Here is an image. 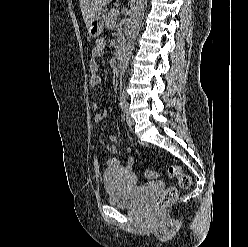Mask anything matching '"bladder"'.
I'll list each match as a JSON object with an SVG mask.
<instances>
[{"label":"bladder","instance_id":"obj_1","mask_svg":"<svg viewBox=\"0 0 248 247\" xmlns=\"http://www.w3.org/2000/svg\"><path fill=\"white\" fill-rule=\"evenodd\" d=\"M133 177V173L123 167H111L104 171L103 183L109 204L132 207L137 203L140 187Z\"/></svg>","mask_w":248,"mask_h":247}]
</instances>
